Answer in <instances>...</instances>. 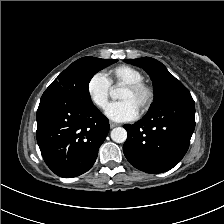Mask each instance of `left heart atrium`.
Here are the masks:
<instances>
[{
  "label": "left heart atrium",
  "instance_id": "left-heart-atrium-1",
  "mask_svg": "<svg viewBox=\"0 0 224 224\" xmlns=\"http://www.w3.org/2000/svg\"><path fill=\"white\" fill-rule=\"evenodd\" d=\"M105 114L113 121L125 122L136 119L138 109L130 101L124 100L109 104Z\"/></svg>",
  "mask_w": 224,
  "mask_h": 224
}]
</instances>
